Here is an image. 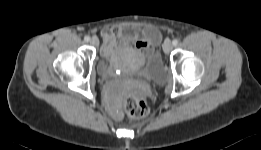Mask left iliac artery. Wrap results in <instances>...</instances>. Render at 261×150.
<instances>
[{
    "label": "left iliac artery",
    "mask_w": 261,
    "mask_h": 150,
    "mask_svg": "<svg viewBox=\"0 0 261 150\" xmlns=\"http://www.w3.org/2000/svg\"><path fill=\"white\" fill-rule=\"evenodd\" d=\"M172 44H173L174 46H176V45L178 44V40H177V39H174V40L172 41Z\"/></svg>",
    "instance_id": "44dca946"
}]
</instances>
